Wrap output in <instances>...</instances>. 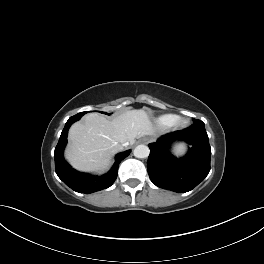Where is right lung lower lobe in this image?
<instances>
[{"label": "right lung lower lobe", "instance_id": "obj_1", "mask_svg": "<svg viewBox=\"0 0 264 264\" xmlns=\"http://www.w3.org/2000/svg\"><path fill=\"white\" fill-rule=\"evenodd\" d=\"M80 114L74 115L66 122L61 133L59 142L55 148V171L58 177L71 189L79 193H93L110 187L117 178L119 163L126 158L131 150L116 155V160L112 168L101 176H91L90 174L80 173L74 170L63 157V151L67 143L69 127L81 118Z\"/></svg>", "mask_w": 264, "mask_h": 264}]
</instances>
